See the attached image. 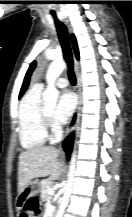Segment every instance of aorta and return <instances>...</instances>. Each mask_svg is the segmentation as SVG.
<instances>
[{
  "instance_id": "aorta-1",
  "label": "aorta",
  "mask_w": 132,
  "mask_h": 217,
  "mask_svg": "<svg viewBox=\"0 0 132 217\" xmlns=\"http://www.w3.org/2000/svg\"><path fill=\"white\" fill-rule=\"evenodd\" d=\"M65 68H66V63L63 60L57 59L50 64L47 70L46 73L47 88L43 92V100L45 104L48 106H55V104L57 103L59 93L55 86V82ZM75 171H76V152L74 151L72 153L71 160H70V167H69V174H68L69 180H73L75 176ZM67 202H68V198L64 197L60 204V208L56 217H62Z\"/></svg>"
}]
</instances>
